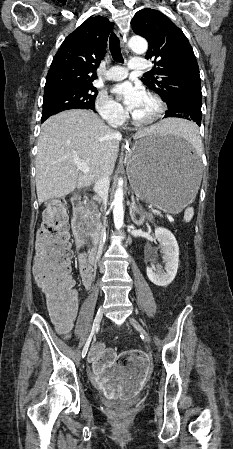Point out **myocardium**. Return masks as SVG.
Segmentation results:
<instances>
[{"label": "myocardium", "mask_w": 233, "mask_h": 449, "mask_svg": "<svg viewBox=\"0 0 233 449\" xmlns=\"http://www.w3.org/2000/svg\"><path fill=\"white\" fill-rule=\"evenodd\" d=\"M146 96H148L150 99H152L153 102L155 103L156 112L152 117H150L149 119H146V120H140L137 117H135L134 115H132V121L136 126L145 127V126L154 124L162 117V115L165 111V104H164L163 100L157 94L148 92V93H146Z\"/></svg>", "instance_id": "obj_1"}]
</instances>
